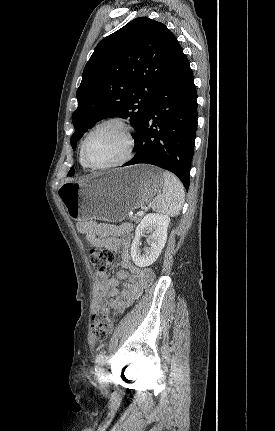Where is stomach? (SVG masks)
Segmentation results:
<instances>
[{"label":"stomach","mask_w":275,"mask_h":431,"mask_svg":"<svg viewBox=\"0 0 275 431\" xmlns=\"http://www.w3.org/2000/svg\"><path fill=\"white\" fill-rule=\"evenodd\" d=\"M162 171L151 165L114 169L79 181H65L58 195L76 221H122L148 204L163 186Z\"/></svg>","instance_id":"obj_1"}]
</instances>
